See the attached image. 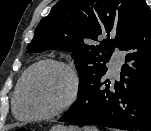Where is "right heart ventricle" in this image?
Returning <instances> with one entry per match:
<instances>
[{"label": "right heart ventricle", "mask_w": 151, "mask_h": 131, "mask_svg": "<svg viewBox=\"0 0 151 131\" xmlns=\"http://www.w3.org/2000/svg\"><path fill=\"white\" fill-rule=\"evenodd\" d=\"M18 84H19V83H18ZM17 88H18V85H17ZM17 88H16V90H15L14 97H15V94H16V91H17ZM14 97H13V101H14ZM13 112H14V108H13ZM14 114H15V112H14Z\"/></svg>", "instance_id": "e07e8e85"}]
</instances>
